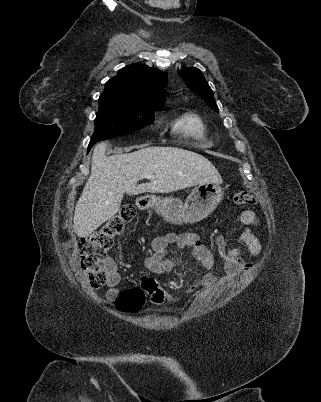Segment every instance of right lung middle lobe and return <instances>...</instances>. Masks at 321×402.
Segmentation results:
<instances>
[{"label": "right lung middle lobe", "instance_id": "obj_1", "mask_svg": "<svg viewBox=\"0 0 321 402\" xmlns=\"http://www.w3.org/2000/svg\"><path fill=\"white\" fill-rule=\"evenodd\" d=\"M162 106H144L123 100L99 98L95 132L91 145L115 136L139 130L154 121V111Z\"/></svg>", "mask_w": 321, "mask_h": 402}]
</instances>
